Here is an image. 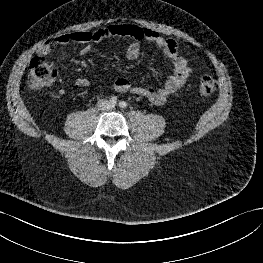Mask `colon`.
I'll return each mask as SVG.
<instances>
[{
  "label": "colon",
  "mask_w": 263,
  "mask_h": 263,
  "mask_svg": "<svg viewBox=\"0 0 263 263\" xmlns=\"http://www.w3.org/2000/svg\"><path fill=\"white\" fill-rule=\"evenodd\" d=\"M57 71L53 62L43 56H36L30 62L27 76V87L32 91H39L49 85L56 78ZM217 89V83L211 76H204L199 83V91L203 95H210Z\"/></svg>",
  "instance_id": "5ec220e1"
}]
</instances>
